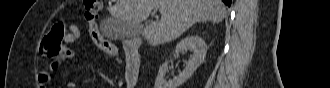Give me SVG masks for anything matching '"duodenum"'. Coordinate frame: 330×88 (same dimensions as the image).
<instances>
[{"label":"duodenum","mask_w":330,"mask_h":88,"mask_svg":"<svg viewBox=\"0 0 330 88\" xmlns=\"http://www.w3.org/2000/svg\"><path fill=\"white\" fill-rule=\"evenodd\" d=\"M139 39H132L125 43L124 49L127 54L126 78L129 83L135 84L139 78ZM133 76V79L130 78Z\"/></svg>","instance_id":"obj_1"}]
</instances>
